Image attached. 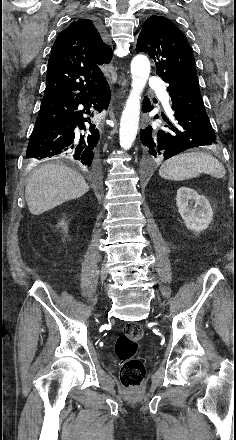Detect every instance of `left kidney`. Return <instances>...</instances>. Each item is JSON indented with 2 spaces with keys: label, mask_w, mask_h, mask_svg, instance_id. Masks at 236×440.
<instances>
[{
  "label": "left kidney",
  "mask_w": 236,
  "mask_h": 440,
  "mask_svg": "<svg viewBox=\"0 0 236 440\" xmlns=\"http://www.w3.org/2000/svg\"><path fill=\"white\" fill-rule=\"evenodd\" d=\"M176 205L186 227L195 232L205 230L213 219L209 201L194 189L180 187L177 190Z\"/></svg>",
  "instance_id": "1"
}]
</instances>
